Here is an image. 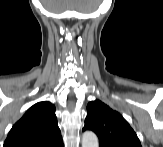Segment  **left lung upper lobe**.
Listing matches in <instances>:
<instances>
[{
	"label": "left lung upper lobe",
	"mask_w": 163,
	"mask_h": 147,
	"mask_svg": "<svg viewBox=\"0 0 163 147\" xmlns=\"http://www.w3.org/2000/svg\"><path fill=\"white\" fill-rule=\"evenodd\" d=\"M85 130L96 133L99 147H141L136 133L123 116L100 100L88 103Z\"/></svg>",
	"instance_id": "1"
}]
</instances>
